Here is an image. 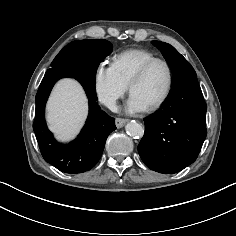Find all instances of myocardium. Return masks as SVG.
Segmentation results:
<instances>
[{
    "label": "myocardium",
    "mask_w": 236,
    "mask_h": 236,
    "mask_svg": "<svg viewBox=\"0 0 236 236\" xmlns=\"http://www.w3.org/2000/svg\"><path fill=\"white\" fill-rule=\"evenodd\" d=\"M157 63H161V64L165 65V67L167 68L168 84H167L166 90H165L164 94L162 95V97L158 101H156L154 104L147 107V109L149 111H154V110H157L160 107H162L167 102V100L169 99V97L172 93L173 86H174V71H173V67L170 64V62L167 61L166 59H163V58H154V59L146 62L138 70V72L135 74V76L133 77V79L131 80V82L129 84V92H130V94H132L134 87L136 85H138L145 78V76L147 75L149 70Z\"/></svg>",
    "instance_id": "f54148a6"
}]
</instances>
